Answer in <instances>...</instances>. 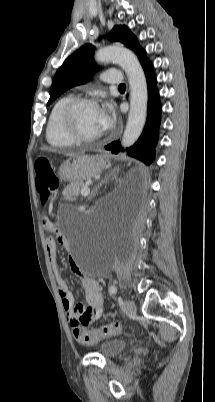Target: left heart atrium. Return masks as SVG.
<instances>
[{
  "mask_svg": "<svg viewBox=\"0 0 215 402\" xmlns=\"http://www.w3.org/2000/svg\"><path fill=\"white\" fill-rule=\"evenodd\" d=\"M114 120L115 115L110 104H105L102 107H99V123L102 131L111 128L114 124Z\"/></svg>",
  "mask_w": 215,
  "mask_h": 402,
  "instance_id": "1",
  "label": "left heart atrium"
}]
</instances>
